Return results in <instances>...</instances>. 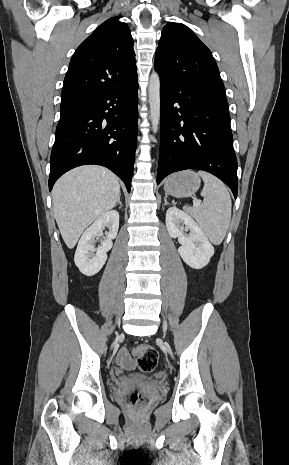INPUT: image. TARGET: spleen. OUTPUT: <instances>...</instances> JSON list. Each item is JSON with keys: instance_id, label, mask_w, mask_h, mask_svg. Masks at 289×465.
<instances>
[{"instance_id": "1", "label": "spleen", "mask_w": 289, "mask_h": 465, "mask_svg": "<svg viewBox=\"0 0 289 465\" xmlns=\"http://www.w3.org/2000/svg\"><path fill=\"white\" fill-rule=\"evenodd\" d=\"M204 181L201 196L203 202L187 210L195 218L206 236L214 245H219L229 228L231 220V198L222 181L210 173L199 171Z\"/></svg>"}]
</instances>
